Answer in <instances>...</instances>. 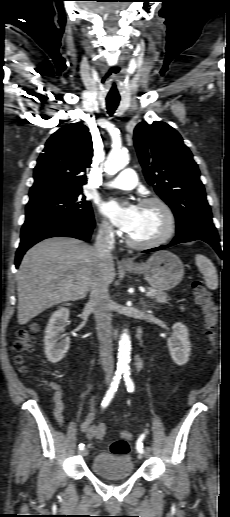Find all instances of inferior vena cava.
Instances as JSON below:
<instances>
[{"instance_id": "602c4592", "label": "inferior vena cava", "mask_w": 230, "mask_h": 517, "mask_svg": "<svg viewBox=\"0 0 230 517\" xmlns=\"http://www.w3.org/2000/svg\"><path fill=\"white\" fill-rule=\"evenodd\" d=\"M114 243L112 229L108 225L101 226L94 245L99 260V268L90 285V302L95 307L96 327L100 343V361L106 379L112 378L114 361L112 355L111 300L105 268L112 257L111 251L114 248Z\"/></svg>"}]
</instances>
